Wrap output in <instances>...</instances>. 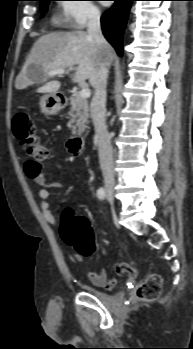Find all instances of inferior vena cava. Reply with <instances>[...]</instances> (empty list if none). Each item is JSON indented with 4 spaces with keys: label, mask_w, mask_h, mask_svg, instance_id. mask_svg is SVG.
I'll return each instance as SVG.
<instances>
[{
    "label": "inferior vena cava",
    "mask_w": 193,
    "mask_h": 349,
    "mask_svg": "<svg viewBox=\"0 0 193 349\" xmlns=\"http://www.w3.org/2000/svg\"><path fill=\"white\" fill-rule=\"evenodd\" d=\"M87 27L89 36L95 40L97 45L103 46L107 43L101 31L100 12L98 9H90ZM107 78V66L101 64L94 80L95 93L91 101L90 111L95 128V142L98 145L99 162L104 183L106 186H111L114 185L113 149L111 136L108 133L105 121Z\"/></svg>",
    "instance_id": "1"
}]
</instances>
